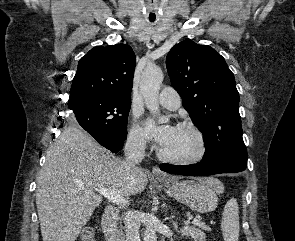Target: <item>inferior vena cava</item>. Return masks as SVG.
<instances>
[{"label": "inferior vena cava", "instance_id": "obj_1", "mask_svg": "<svg viewBox=\"0 0 295 241\" xmlns=\"http://www.w3.org/2000/svg\"><path fill=\"white\" fill-rule=\"evenodd\" d=\"M124 156L125 174L131 178L140 170L137 164L145 157V141L137 136L129 137L125 144ZM124 224L126 241H141L139 235L140 218L136 211L129 210L124 214Z\"/></svg>", "mask_w": 295, "mask_h": 241}]
</instances>
